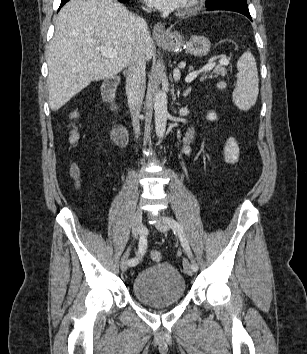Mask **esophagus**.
<instances>
[{"mask_svg":"<svg viewBox=\"0 0 307 354\" xmlns=\"http://www.w3.org/2000/svg\"><path fill=\"white\" fill-rule=\"evenodd\" d=\"M152 34H153V38L155 40L161 41V40L166 39L167 33H166V30H165L164 23H162V22L156 23L154 25V27H153Z\"/></svg>","mask_w":307,"mask_h":354,"instance_id":"esophagus-1","label":"esophagus"}]
</instances>
